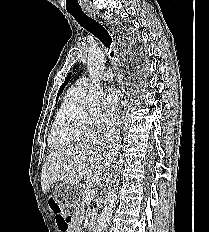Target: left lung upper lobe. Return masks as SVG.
<instances>
[{
    "mask_svg": "<svg viewBox=\"0 0 209 232\" xmlns=\"http://www.w3.org/2000/svg\"><path fill=\"white\" fill-rule=\"evenodd\" d=\"M72 73H69L65 79V82L64 84L61 86L60 88V93L63 91L64 87L68 84V80L70 79V76H71Z\"/></svg>",
    "mask_w": 209,
    "mask_h": 232,
    "instance_id": "1",
    "label": "left lung upper lobe"
}]
</instances>
